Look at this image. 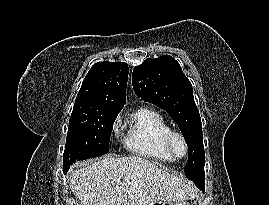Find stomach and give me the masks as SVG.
Listing matches in <instances>:
<instances>
[{
  "label": "stomach",
  "mask_w": 269,
  "mask_h": 205,
  "mask_svg": "<svg viewBox=\"0 0 269 205\" xmlns=\"http://www.w3.org/2000/svg\"><path fill=\"white\" fill-rule=\"evenodd\" d=\"M149 205H190L189 202L183 201H175V202H165V201H153L150 202Z\"/></svg>",
  "instance_id": "stomach-1"
}]
</instances>
